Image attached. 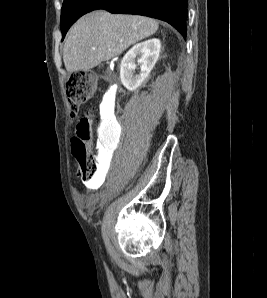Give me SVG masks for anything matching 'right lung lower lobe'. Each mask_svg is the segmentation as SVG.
Masks as SVG:
<instances>
[{"label":"right lung lower lobe","instance_id":"right-lung-lower-lobe-1","mask_svg":"<svg viewBox=\"0 0 267 298\" xmlns=\"http://www.w3.org/2000/svg\"><path fill=\"white\" fill-rule=\"evenodd\" d=\"M187 6V0H97L90 11L104 9L111 13L157 18L168 22L186 37Z\"/></svg>","mask_w":267,"mask_h":298}]
</instances>
